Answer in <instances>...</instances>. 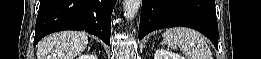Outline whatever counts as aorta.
Returning a JSON list of instances; mask_svg holds the SVG:
<instances>
[{"label":"aorta","instance_id":"1","mask_svg":"<svg viewBox=\"0 0 261 59\" xmlns=\"http://www.w3.org/2000/svg\"><path fill=\"white\" fill-rule=\"evenodd\" d=\"M142 0H124L123 1V12L127 20L132 21L141 7Z\"/></svg>","mask_w":261,"mask_h":59}]
</instances>
